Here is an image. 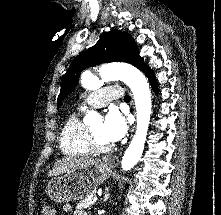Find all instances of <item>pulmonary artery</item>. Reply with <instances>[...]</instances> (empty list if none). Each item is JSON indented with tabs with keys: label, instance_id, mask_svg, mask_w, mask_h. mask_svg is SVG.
I'll list each match as a JSON object with an SVG mask.
<instances>
[{
	"label": "pulmonary artery",
	"instance_id": "1",
	"mask_svg": "<svg viewBox=\"0 0 221 215\" xmlns=\"http://www.w3.org/2000/svg\"><path fill=\"white\" fill-rule=\"evenodd\" d=\"M123 97V90L118 86H106L90 93L84 99V105L92 108H101L106 106L110 101Z\"/></svg>",
	"mask_w": 221,
	"mask_h": 215
}]
</instances>
